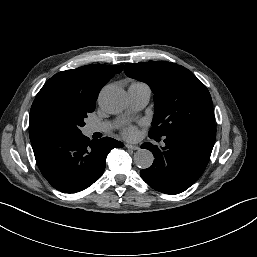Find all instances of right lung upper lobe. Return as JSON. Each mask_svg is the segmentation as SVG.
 Instances as JSON below:
<instances>
[{
	"instance_id": "right-lung-upper-lobe-1",
	"label": "right lung upper lobe",
	"mask_w": 257,
	"mask_h": 257,
	"mask_svg": "<svg viewBox=\"0 0 257 257\" xmlns=\"http://www.w3.org/2000/svg\"><path fill=\"white\" fill-rule=\"evenodd\" d=\"M122 68L123 65L91 64L73 70L62 71L51 77L36 96L46 89L60 88L78 95L86 102L95 104L100 89L116 73H120ZM41 136L30 129L31 143Z\"/></svg>"
}]
</instances>
